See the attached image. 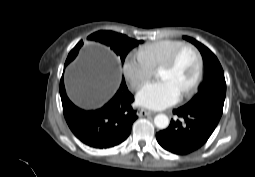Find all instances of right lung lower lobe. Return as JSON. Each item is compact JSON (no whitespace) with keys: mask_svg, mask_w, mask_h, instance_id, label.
I'll return each mask as SVG.
<instances>
[{"mask_svg":"<svg viewBox=\"0 0 255 177\" xmlns=\"http://www.w3.org/2000/svg\"><path fill=\"white\" fill-rule=\"evenodd\" d=\"M60 95L66 122L73 134L84 144L107 149L119 145L130 135L136 111L131 107L133 95L124 83L115 96L97 110H84L73 104L67 97L63 77Z\"/></svg>","mask_w":255,"mask_h":177,"instance_id":"right-lung-lower-lobe-1","label":"right lung lower lobe"}]
</instances>
